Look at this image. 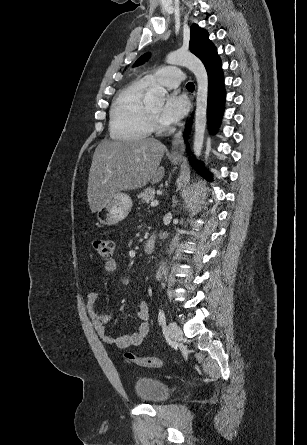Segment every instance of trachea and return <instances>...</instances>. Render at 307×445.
<instances>
[{
    "label": "trachea",
    "instance_id": "3493384b",
    "mask_svg": "<svg viewBox=\"0 0 307 445\" xmlns=\"http://www.w3.org/2000/svg\"><path fill=\"white\" fill-rule=\"evenodd\" d=\"M186 87L188 90H194V83L189 82V83H187Z\"/></svg>",
    "mask_w": 307,
    "mask_h": 445
}]
</instances>
